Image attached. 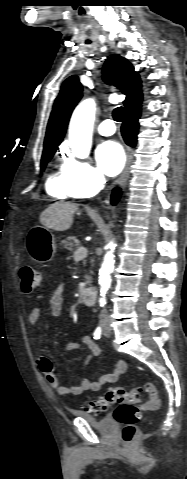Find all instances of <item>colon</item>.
Returning <instances> with one entry per match:
<instances>
[{"label": "colon", "instance_id": "5ec220e1", "mask_svg": "<svg viewBox=\"0 0 187 479\" xmlns=\"http://www.w3.org/2000/svg\"><path fill=\"white\" fill-rule=\"evenodd\" d=\"M21 289L24 293H32L42 285V274L29 265L21 266L19 269ZM141 391L149 395V401L140 404L139 394ZM113 404H117L114 412L115 419L123 425L122 439L126 444H132L138 437L139 430L137 423L143 410H155L159 407L158 391L153 383L146 382L143 385L125 390L123 388H110L103 397L98 400L89 401L85 409L90 412H104Z\"/></svg>", "mask_w": 187, "mask_h": 479}]
</instances>
